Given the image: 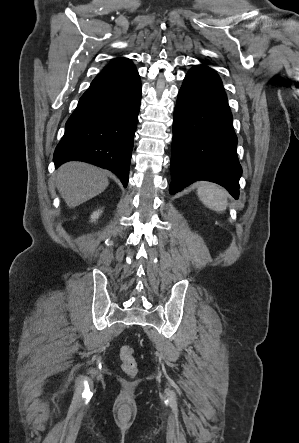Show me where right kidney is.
Returning <instances> with one entry per match:
<instances>
[{
	"mask_svg": "<svg viewBox=\"0 0 299 443\" xmlns=\"http://www.w3.org/2000/svg\"><path fill=\"white\" fill-rule=\"evenodd\" d=\"M100 214H101V211H96V212H94L92 215H91V221L93 222H95L96 221V219H98L99 218V216H100Z\"/></svg>",
	"mask_w": 299,
	"mask_h": 443,
	"instance_id": "1",
	"label": "right kidney"
}]
</instances>
